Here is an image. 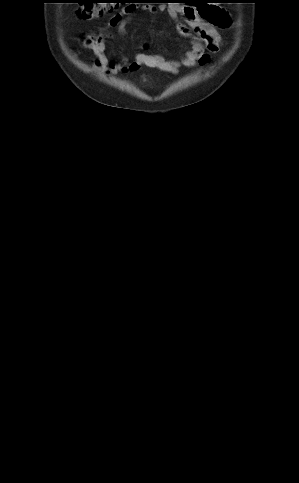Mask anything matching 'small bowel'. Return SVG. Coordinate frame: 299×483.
I'll list each match as a JSON object with an SVG mask.
<instances>
[{
	"label": "small bowel",
	"instance_id": "obj_1",
	"mask_svg": "<svg viewBox=\"0 0 299 483\" xmlns=\"http://www.w3.org/2000/svg\"><path fill=\"white\" fill-rule=\"evenodd\" d=\"M139 7L127 6L119 14H116L108 22V27L116 30L118 35H124L127 28V20ZM141 10L149 13L166 11L176 21L178 32L185 37L194 32L197 39L192 41L191 48L187 50L181 59L169 60L161 55H149L139 53L133 61L123 60L117 62L107 56L105 38L109 35L106 30L92 31L82 38V47L89 51L94 59L96 67L105 74L135 71L141 66L153 67L172 74L180 72L181 68H193L197 65H205L210 58L219 52L222 38L217 27H225L229 23V16L225 10L213 4L204 6L206 18L201 17L199 6L170 4L162 6L143 5ZM183 19V21L181 20ZM147 48V44H143Z\"/></svg>",
	"mask_w": 299,
	"mask_h": 483
}]
</instances>
